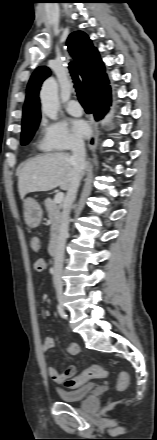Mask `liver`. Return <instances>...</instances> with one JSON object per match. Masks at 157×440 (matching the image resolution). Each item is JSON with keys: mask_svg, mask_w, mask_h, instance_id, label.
<instances>
[{"mask_svg": "<svg viewBox=\"0 0 157 440\" xmlns=\"http://www.w3.org/2000/svg\"><path fill=\"white\" fill-rule=\"evenodd\" d=\"M86 168L87 163L83 171ZM74 174V163L69 153H47L30 159L18 170L20 198L24 199L31 192L50 191L56 187L68 190Z\"/></svg>", "mask_w": 157, "mask_h": 440, "instance_id": "1", "label": "liver"}]
</instances>
